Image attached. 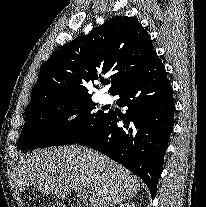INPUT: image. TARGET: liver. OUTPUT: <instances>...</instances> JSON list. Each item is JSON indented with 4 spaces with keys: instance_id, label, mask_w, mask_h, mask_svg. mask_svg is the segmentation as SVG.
I'll return each mask as SVG.
<instances>
[{
    "instance_id": "1",
    "label": "liver",
    "mask_w": 206,
    "mask_h": 207,
    "mask_svg": "<svg viewBox=\"0 0 206 207\" xmlns=\"http://www.w3.org/2000/svg\"><path fill=\"white\" fill-rule=\"evenodd\" d=\"M19 190L34 186L46 195L64 198L71 186L82 189L92 207L115 206L139 191L137 177L110 158L83 146L35 150L16 167Z\"/></svg>"
}]
</instances>
